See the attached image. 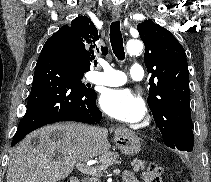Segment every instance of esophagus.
<instances>
[{
    "label": "esophagus",
    "mask_w": 211,
    "mask_h": 182,
    "mask_svg": "<svg viewBox=\"0 0 211 182\" xmlns=\"http://www.w3.org/2000/svg\"><path fill=\"white\" fill-rule=\"evenodd\" d=\"M111 16H112L113 20L119 19L120 16H121V10L119 8L113 9L112 13H111Z\"/></svg>",
    "instance_id": "esophagus-1"
}]
</instances>
